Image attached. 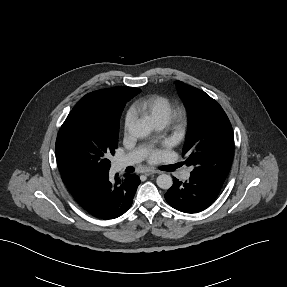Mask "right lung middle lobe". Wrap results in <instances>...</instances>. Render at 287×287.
<instances>
[{
	"label": "right lung middle lobe",
	"instance_id": "right-lung-middle-lobe-1",
	"mask_svg": "<svg viewBox=\"0 0 287 287\" xmlns=\"http://www.w3.org/2000/svg\"><path fill=\"white\" fill-rule=\"evenodd\" d=\"M123 108L114 112L105 102L85 95L58 132L55 149L59 170L76 180L107 175L109 158L117 148Z\"/></svg>",
	"mask_w": 287,
	"mask_h": 287
}]
</instances>
